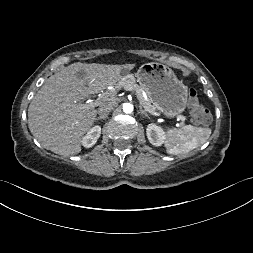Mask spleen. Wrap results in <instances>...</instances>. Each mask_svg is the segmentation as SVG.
I'll list each match as a JSON object with an SVG mask.
<instances>
[{"instance_id":"obj_1","label":"spleen","mask_w":253,"mask_h":253,"mask_svg":"<svg viewBox=\"0 0 253 253\" xmlns=\"http://www.w3.org/2000/svg\"><path fill=\"white\" fill-rule=\"evenodd\" d=\"M211 135L210 128L186 125L182 128H169L165 142L168 154L188 153L204 144Z\"/></svg>"}]
</instances>
